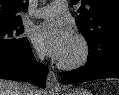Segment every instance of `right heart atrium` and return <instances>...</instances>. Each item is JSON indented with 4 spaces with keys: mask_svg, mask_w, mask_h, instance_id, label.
I'll use <instances>...</instances> for the list:
<instances>
[{
    "mask_svg": "<svg viewBox=\"0 0 119 95\" xmlns=\"http://www.w3.org/2000/svg\"><path fill=\"white\" fill-rule=\"evenodd\" d=\"M35 56H36L37 58H41V57H42V55H41V53H40L39 51H36V52H35Z\"/></svg>",
    "mask_w": 119,
    "mask_h": 95,
    "instance_id": "d8ad5b80",
    "label": "right heart atrium"
}]
</instances>
